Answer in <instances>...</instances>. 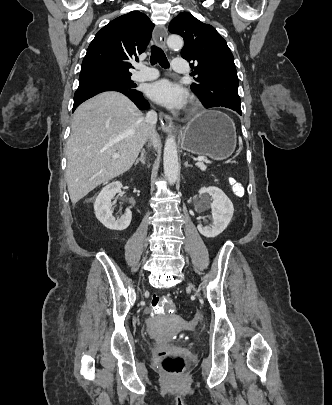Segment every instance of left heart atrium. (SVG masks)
<instances>
[{
  "instance_id": "left-heart-atrium-1",
  "label": "left heart atrium",
  "mask_w": 332,
  "mask_h": 405,
  "mask_svg": "<svg viewBox=\"0 0 332 405\" xmlns=\"http://www.w3.org/2000/svg\"><path fill=\"white\" fill-rule=\"evenodd\" d=\"M146 92L152 100L168 108H182L187 99L185 90L167 79L150 84Z\"/></svg>"
}]
</instances>
